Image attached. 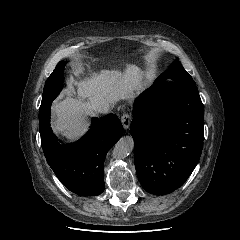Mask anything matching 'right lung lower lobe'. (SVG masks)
I'll use <instances>...</instances> for the list:
<instances>
[{"label":"right lung lower lobe","mask_w":240,"mask_h":240,"mask_svg":"<svg viewBox=\"0 0 240 240\" xmlns=\"http://www.w3.org/2000/svg\"><path fill=\"white\" fill-rule=\"evenodd\" d=\"M50 109L39 117L41 146L60 182L80 196L104 191L103 166L108 150L120 139L123 126L116 114L92 120L89 132L74 143L63 144L50 127Z\"/></svg>","instance_id":"98d812e1"}]
</instances>
